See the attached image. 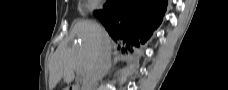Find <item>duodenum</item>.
<instances>
[{
    "label": "duodenum",
    "instance_id": "410a0bca",
    "mask_svg": "<svg viewBox=\"0 0 228 90\" xmlns=\"http://www.w3.org/2000/svg\"><path fill=\"white\" fill-rule=\"evenodd\" d=\"M70 90H79L76 86H73Z\"/></svg>",
    "mask_w": 228,
    "mask_h": 90
}]
</instances>
